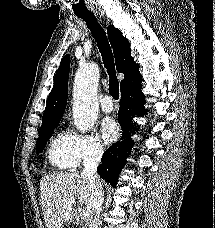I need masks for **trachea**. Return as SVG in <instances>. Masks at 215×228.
I'll list each match as a JSON object with an SVG mask.
<instances>
[{
    "instance_id": "3493384b",
    "label": "trachea",
    "mask_w": 215,
    "mask_h": 228,
    "mask_svg": "<svg viewBox=\"0 0 215 228\" xmlns=\"http://www.w3.org/2000/svg\"><path fill=\"white\" fill-rule=\"evenodd\" d=\"M77 17L82 18L91 30L95 38L100 53L102 55L103 64L109 75V93L115 99L119 98V82L115 72V63L113 53L108 42L107 36L103 28L97 22L94 14H77Z\"/></svg>"
}]
</instances>
